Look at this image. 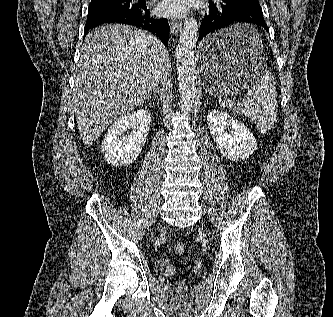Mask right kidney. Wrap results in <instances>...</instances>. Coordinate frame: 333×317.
I'll list each match as a JSON object with an SVG mask.
<instances>
[{
    "label": "right kidney",
    "mask_w": 333,
    "mask_h": 317,
    "mask_svg": "<svg viewBox=\"0 0 333 317\" xmlns=\"http://www.w3.org/2000/svg\"><path fill=\"white\" fill-rule=\"evenodd\" d=\"M151 117L146 109L120 116L104 135L101 152L108 164L125 166L132 164L146 143ZM133 128L132 134H126Z\"/></svg>",
    "instance_id": "right-kidney-1"
}]
</instances>
